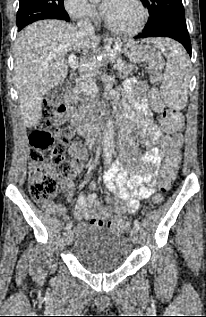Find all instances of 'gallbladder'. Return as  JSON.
<instances>
[{"label": "gallbladder", "instance_id": "bac80fb5", "mask_svg": "<svg viewBox=\"0 0 206 317\" xmlns=\"http://www.w3.org/2000/svg\"><path fill=\"white\" fill-rule=\"evenodd\" d=\"M67 83H61L55 86L46 94L47 102L50 106H58L60 105L65 98V93L68 89Z\"/></svg>", "mask_w": 206, "mask_h": 317}]
</instances>
